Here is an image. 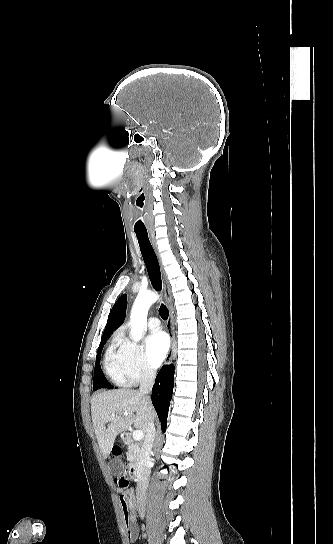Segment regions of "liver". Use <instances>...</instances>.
<instances>
[{"label":"liver","instance_id":"6515ba94","mask_svg":"<svg viewBox=\"0 0 333 544\" xmlns=\"http://www.w3.org/2000/svg\"><path fill=\"white\" fill-rule=\"evenodd\" d=\"M123 413L128 415L121 416ZM91 415L100 450L106 459L119 433L127 431L133 424L135 428L146 432L150 419L155 418V411L149 399L138 391L114 389L92 397Z\"/></svg>","mask_w":333,"mask_h":544}]
</instances>
